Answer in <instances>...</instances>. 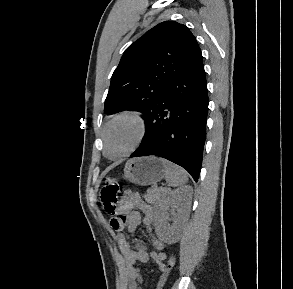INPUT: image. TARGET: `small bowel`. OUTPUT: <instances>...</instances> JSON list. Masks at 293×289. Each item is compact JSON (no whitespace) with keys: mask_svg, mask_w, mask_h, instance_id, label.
Wrapping results in <instances>:
<instances>
[{"mask_svg":"<svg viewBox=\"0 0 293 289\" xmlns=\"http://www.w3.org/2000/svg\"><path fill=\"white\" fill-rule=\"evenodd\" d=\"M140 212L143 213V224L150 233L154 247L152 252L148 251L146 243L139 238L133 240L132 247L127 240V235L121 231L126 226L128 233H133L141 222ZM154 216L155 211L152 205L146 203L138 194L126 192L121 196L119 207L111 218H116L122 223L121 229L117 230L116 239L123 257L128 289H141L143 277L136 264H144L153 259L159 270H162L164 266L167 255L164 251V243L152 231ZM111 227L113 228L112 224Z\"/></svg>","mask_w":293,"mask_h":289,"instance_id":"c3829d8e","label":"small bowel"}]
</instances>
